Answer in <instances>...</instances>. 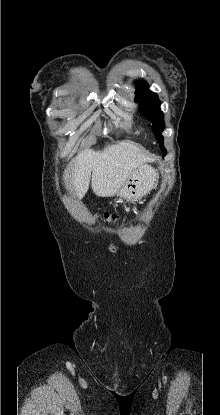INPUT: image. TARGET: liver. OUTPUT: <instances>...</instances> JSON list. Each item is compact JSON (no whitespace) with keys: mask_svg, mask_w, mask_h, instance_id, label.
<instances>
[{"mask_svg":"<svg viewBox=\"0 0 220 415\" xmlns=\"http://www.w3.org/2000/svg\"><path fill=\"white\" fill-rule=\"evenodd\" d=\"M146 160L141 150L128 142L108 145L102 151L85 149L74 160L72 188L81 199L87 193L91 179L92 190L97 196L117 194L129 175Z\"/></svg>","mask_w":220,"mask_h":415,"instance_id":"6515ba94","label":"liver"}]
</instances>
